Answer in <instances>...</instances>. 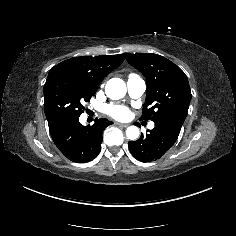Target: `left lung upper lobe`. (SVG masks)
<instances>
[{"instance_id":"1","label":"left lung upper lobe","mask_w":236,"mask_h":236,"mask_svg":"<svg viewBox=\"0 0 236 236\" xmlns=\"http://www.w3.org/2000/svg\"><path fill=\"white\" fill-rule=\"evenodd\" d=\"M126 60L146 78L147 93L140 120L188 114L191 91L187 76L173 62L157 54H125Z\"/></svg>"}]
</instances>
